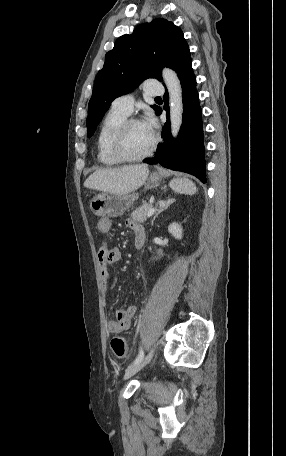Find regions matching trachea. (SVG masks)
I'll return each mask as SVG.
<instances>
[{"instance_id": "obj_1", "label": "trachea", "mask_w": 286, "mask_h": 456, "mask_svg": "<svg viewBox=\"0 0 286 456\" xmlns=\"http://www.w3.org/2000/svg\"><path fill=\"white\" fill-rule=\"evenodd\" d=\"M155 99H160V97H156Z\"/></svg>"}]
</instances>
